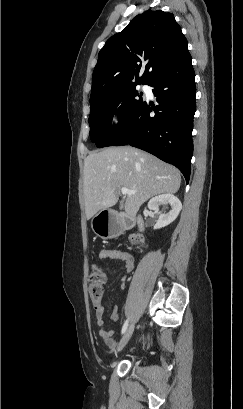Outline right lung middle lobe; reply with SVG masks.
I'll use <instances>...</instances> for the list:
<instances>
[{"label": "right lung middle lobe", "mask_w": 243, "mask_h": 409, "mask_svg": "<svg viewBox=\"0 0 243 409\" xmlns=\"http://www.w3.org/2000/svg\"><path fill=\"white\" fill-rule=\"evenodd\" d=\"M136 85L123 88L90 103V138L97 147L108 146L144 102L142 93L136 90ZM115 112L119 115V123L112 126V116Z\"/></svg>", "instance_id": "right-lung-middle-lobe-1"}]
</instances>
